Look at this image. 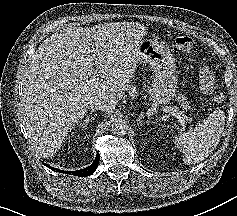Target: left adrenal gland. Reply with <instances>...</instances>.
<instances>
[{
  "mask_svg": "<svg viewBox=\"0 0 237 216\" xmlns=\"http://www.w3.org/2000/svg\"><path fill=\"white\" fill-rule=\"evenodd\" d=\"M143 119H144V114L143 112H141L138 118L136 119L138 126H142L144 124Z\"/></svg>",
  "mask_w": 237,
  "mask_h": 216,
  "instance_id": "a2214340",
  "label": "left adrenal gland"
}]
</instances>
